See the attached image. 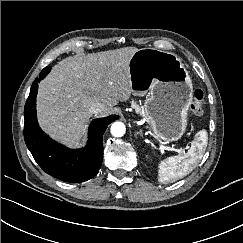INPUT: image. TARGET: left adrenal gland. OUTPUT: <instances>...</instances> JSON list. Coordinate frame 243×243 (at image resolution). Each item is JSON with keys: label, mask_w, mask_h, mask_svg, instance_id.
<instances>
[{"label": "left adrenal gland", "mask_w": 243, "mask_h": 243, "mask_svg": "<svg viewBox=\"0 0 243 243\" xmlns=\"http://www.w3.org/2000/svg\"><path fill=\"white\" fill-rule=\"evenodd\" d=\"M137 135H141V136H142V135H143V134H142V131L140 130L139 132H136V133H135V136H137Z\"/></svg>", "instance_id": "obj_1"}]
</instances>
